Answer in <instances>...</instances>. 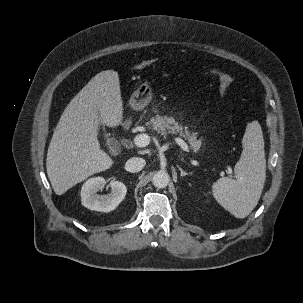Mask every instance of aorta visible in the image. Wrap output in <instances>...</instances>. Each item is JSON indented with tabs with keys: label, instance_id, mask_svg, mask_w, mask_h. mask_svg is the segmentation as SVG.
Returning a JSON list of instances; mask_svg holds the SVG:
<instances>
[{
	"label": "aorta",
	"instance_id": "obj_1",
	"mask_svg": "<svg viewBox=\"0 0 303 303\" xmlns=\"http://www.w3.org/2000/svg\"><path fill=\"white\" fill-rule=\"evenodd\" d=\"M152 183L157 188H165L169 183V175L165 171H158L153 175Z\"/></svg>",
	"mask_w": 303,
	"mask_h": 303
}]
</instances>
